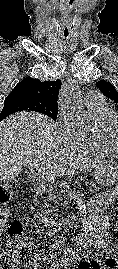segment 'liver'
I'll return each instance as SVG.
<instances>
[{
    "mask_svg": "<svg viewBox=\"0 0 118 269\" xmlns=\"http://www.w3.org/2000/svg\"><path fill=\"white\" fill-rule=\"evenodd\" d=\"M59 139L57 125L40 113L22 111L4 119L0 123V182L17 177L22 166L55 177L100 165L67 148L59 149Z\"/></svg>",
    "mask_w": 118,
    "mask_h": 269,
    "instance_id": "1",
    "label": "liver"
}]
</instances>
